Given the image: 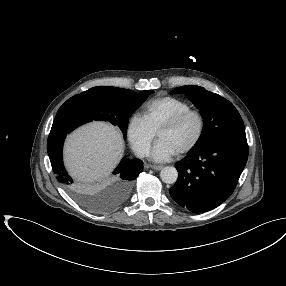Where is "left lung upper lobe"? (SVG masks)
I'll return each instance as SVG.
<instances>
[{
	"mask_svg": "<svg viewBox=\"0 0 286 286\" xmlns=\"http://www.w3.org/2000/svg\"><path fill=\"white\" fill-rule=\"evenodd\" d=\"M185 93L199 109L204 128L193 149L218 140L247 141L243 120L234 105L216 93L196 85L176 88L172 94Z\"/></svg>",
	"mask_w": 286,
	"mask_h": 286,
	"instance_id": "left-lung-upper-lobe-1",
	"label": "left lung upper lobe"
}]
</instances>
